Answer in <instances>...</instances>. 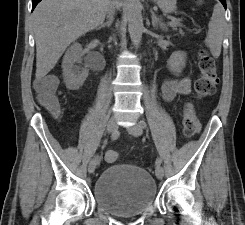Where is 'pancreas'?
Listing matches in <instances>:
<instances>
[{"mask_svg":"<svg viewBox=\"0 0 245 225\" xmlns=\"http://www.w3.org/2000/svg\"><path fill=\"white\" fill-rule=\"evenodd\" d=\"M172 27H173L175 30L177 29V27H182V24L180 23V20L177 19L176 24H175L174 26H172ZM179 33H180V34H183V32H182L181 29H179Z\"/></svg>","mask_w":245,"mask_h":225,"instance_id":"obj_1","label":"pancreas"}]
</instances>
